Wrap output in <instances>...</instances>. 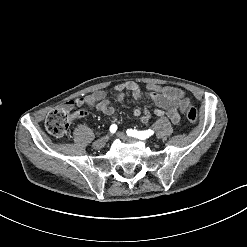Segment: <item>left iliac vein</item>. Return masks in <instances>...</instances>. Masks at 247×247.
Masks as SVG:
<instances>
[{
    "label": "left iliac vein",
    "mask_w": 247,
    "mask_h": 247,
    "mask_svg": "<svg viewBox=\"0 0 247 247\" xmlns=\"http://www.w3.org/2000/svg\"><path fill=\"white\" fill-rule=\"evenodd\" d=\"M116 135L118 137H120L121 139L125 140V141H131V142H137V141H139V140H137L135 138H132V137H129V136L125 135L122 132H117ZM143 142H145V141L143 140Z\"/></svg>",
    "instance_id": "1"
}]
</instances>
